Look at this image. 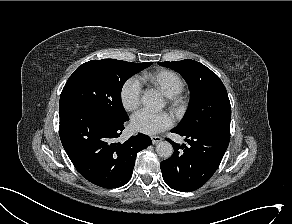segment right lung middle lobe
Instances as JSON below:
<instances>
[{
    "label": "right lung middle lobe",
    "mask_w": 292,
    "mask_h": 224,
    "mask_svg": "<svg viewBox=\"0 0 292 224\" xmlns=\"http://www.w3.org/2000/svg\"><path fill=\"white\" fill-rule=\"evenodd\" d=\"M152 62L133 63L116 59L92 60L79 66L67 80L59 107L82 105L104 118H126L121 90L128 78L149 67Z\"/></svg>",
    "instance_id": "1"
}]
</instances>
